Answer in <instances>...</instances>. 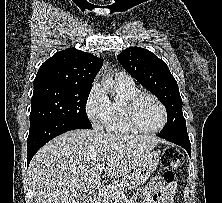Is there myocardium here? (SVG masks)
Instances as JSON below:
<instances>
[{
  "instance_id": "f54148a6",
  "label": "myocardium",
  "mask_w": 222,
  "mask_h": 203,
  "mask_svg": "<svg viewBox=\"0 0 222 203\" xmlns=\"http://www.w3.org/2000/svg\"><path fill=\"white\" fill-rule=\"evenodd\" d=\"M146 97L153 99L162 110L163 120L160 126H158L157 128H153V129L144 128L143 126L140 125V123L137 120L136 111H135L136 106L141 99L146 98ZM124 112H125V116L129 125L136 131L142 132V133H148V134L158 133L166 126L167 121H168V113H167V109L165 105L157 96L151 93L138 92L130 96L129 98H127L124 103Z\"/></svg>"
}]
</instances>
